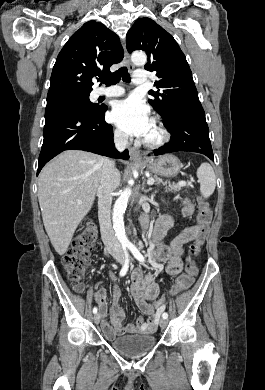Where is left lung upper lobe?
<instances>
[{"instance_id":"left-lung-upper-lobe-1","label":"left lung upper lobe","mask_w":265,"mask_h":390,"mask_svg":"<svg viewBox=\"0 0 265 390\" xmlns=\"http://www.w3.org/2000/svg\"><path fill=\"white\" fill-rule=\"evenodd\" d=\"M129 53L143 50L148 55L144 66L155 71L159 78L154 83L158 91L150 90V105L169 122L173 111L182 105L200 102L192 72L175 39L150 18L135 21L126 36Z\"/></svg>"}]
</instances>
